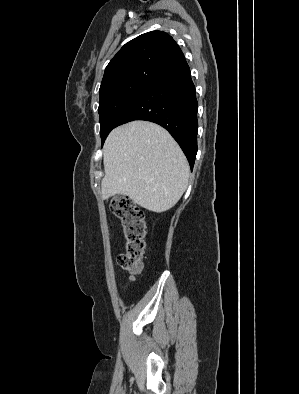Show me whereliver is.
<instances>
[{"label":"liver","mask_w":299,"mask_h":394,"mask_svg":"<svg viewBox=\"0 0 299 394\" xmlns=\"http://www.w3.org/2000/svg\"><path fill=\"white\" fill-rule=\"evenodd\" d=\"M103 162V198L129 196L152 212L172 208L188 185L184 153L164 128L152 122L132 121L113 129L103 147Z\"/></svg>","instance_id":"6515ba94"}]
</instances>
